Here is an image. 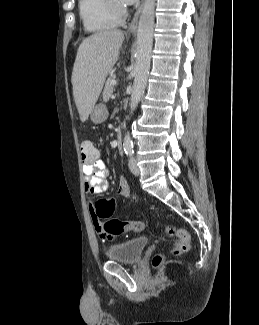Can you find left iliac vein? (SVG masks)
I'll return each mask as SVG.
<instances>
[{"mask_svg":"<svg viewBox=\"0 0 259 325\" xmlns=\"http://www.w3.org/2000/svg\"><path fill=\"white\" fill-rule=\"evenodd\" d=\"M129 169L134 175H139L140 174V169L136 164L135 158H130L129 160Z\"/></svg>","mask_w":259,"mask_h":325,"instance_id":"1","label":"left iliac vein"}]
</instances>
